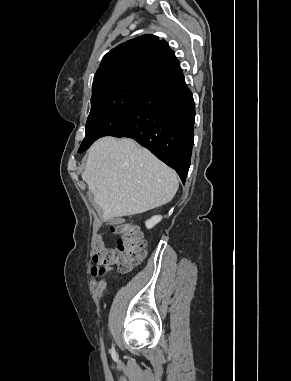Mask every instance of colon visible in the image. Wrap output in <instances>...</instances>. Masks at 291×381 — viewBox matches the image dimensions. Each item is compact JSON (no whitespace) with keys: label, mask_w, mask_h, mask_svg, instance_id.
<instances>
[{"label":"colon","mask_w":291,"mask_h":381,"mask_svg":"<svg viewBox=\"0 0 291 381\" xmlns=\"http://www.w3.org/2000/svg\"><path fill=\"white\" fill-rule=\"evenodd\" d=\"M110 230L117 236L116 248L107 249L103 246L93 256L95 265L99 266L93 270L99 275H105L112 265H116L122 273H127L140 264L145 256V241L137 225L129 221H113Z\"/></svg>","instance_id":"obj_1"}]
</instances>
